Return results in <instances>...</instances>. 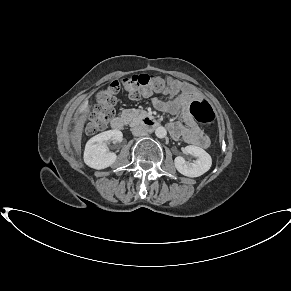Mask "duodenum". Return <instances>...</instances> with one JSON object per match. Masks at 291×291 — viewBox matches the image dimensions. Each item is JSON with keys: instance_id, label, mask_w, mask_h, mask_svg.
<instances>
[{"instance_id": "obj_1", "label": "duodenum", "mask_w": 291, "mask_h": 291, "mask_svg": "<svg viewBox=\"0 0 291 291\" xmlns=\"http://www.w3.org/2000/svg\"><path fill=\"white\" fill-rule=\"evenodd\" d=\"M142 125L144 127L155 129L159 126L158 121H156L151 116H145L143 117L141 121ZM125 125V118L123 116H115L111 121V126L116 130H121Z\"/></svg>"}]
</instances>
